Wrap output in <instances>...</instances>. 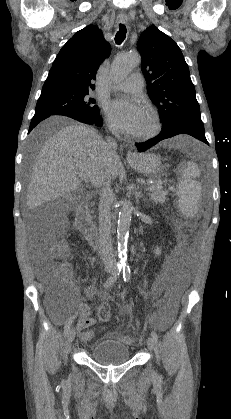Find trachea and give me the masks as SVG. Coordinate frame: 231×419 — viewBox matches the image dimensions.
<instances>
[{"mask_svg":"<svg viewBox=\"0 0 231 419\" xmlns=\"http://www.w3.org/2000/svg\"><path fill=\"white\" fill-rule=\"evenodd\" d=\"M126 32H127V30H126L125 25L120 24L119 25V31L116 33V36H115V42L117 44L120 45L124 41L125 36H126Z\"/></svg>","mask_w":231,"mask_h":419,"instance_id":"trachea-1","label":"trachea"}]
</instances>
